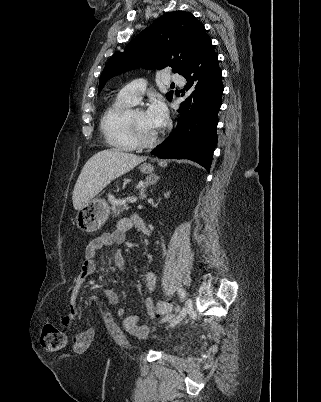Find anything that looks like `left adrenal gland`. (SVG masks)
Returning a JSON list of instances; mask_svg holds the SVG:
<instances>
[{"instance_id": "1", "label": "left adrenal gland", "mask_w": 321, "mask_h": 402, "mask_svg": "<svg viewBox=\"0 0 321 402\" xmlns=\"http://www.w3.org/2000/svg\"><path fill=\"white\" fill-rule=\"evenodd\" d=\"M158 179H159V176H157L156 174H151V175H149V176L146 177L145 184H144V186H143V187L141 188V190H140L139 198H140L141 200H143V199L146 198V194H145L146 188H147L148 186L152 185V184H155V183L158 181Z\"/></svg>"}]
</instances>
